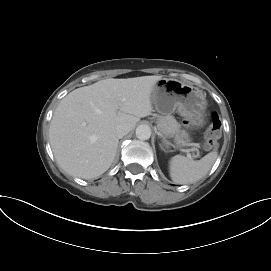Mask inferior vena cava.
I'll list each match as a JSON object with an SVG mask.
<instances>
[{"label":"inferior vena cava","instance_id":"inferior-vena-cava-1","mask_svg":"<svg viewBox=\"0 0 271 271\" xmlns=\"http://www.w3.org/2000/svg\"><path fill=\"white\" fill-rule=\"evenodd\" d=\"M131 131V126L129 124H121L116 128V136L122 138Z\"/></svg>","mask_w":271,"mask_h":271}]
</instances>
